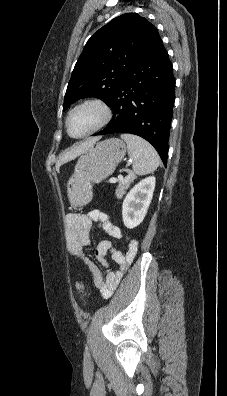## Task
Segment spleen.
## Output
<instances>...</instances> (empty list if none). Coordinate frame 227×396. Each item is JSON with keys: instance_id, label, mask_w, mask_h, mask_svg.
I'll return each mask as SVG.
<instances>
[{"instance_id": "obj_1", "label": "spleen", "mask_w": 227, "mask_h": 396, "mask_svg": "<svg viewBox=\"0 0 227 396\" xmlns=\"http://www.w3.org/2000/svg\"><path fill=\"white\" fill-rule=\"evenodd\" d=\"M127 143L128 155L133 160V171L137 175L154 172L160 165V158L151 144L139 136L122 134Z\"/></svg>"}]
</instances>
